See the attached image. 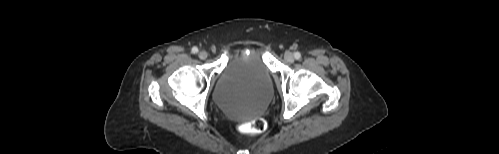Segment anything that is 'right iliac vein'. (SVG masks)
Instances as JSON below:
<instances>
[{
    "label": "right iliac vein",
    "mask_w": 499,
    "mask_h": 154,
    "mask_svg": "<svg viewBox=\"0 0 499 154\" xmlns=\"http://www.w3.org/2000/svg\"><path fill=\"white\" fill-rule=\"evenodd\" d=\"M198 56H199L200 59L204 60V59L207 58V52L206 51H200Z\"/></svg>",
    "instance_id": "right-iliac-vein-1"
}]
</instances>
